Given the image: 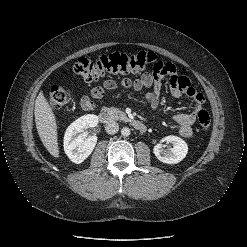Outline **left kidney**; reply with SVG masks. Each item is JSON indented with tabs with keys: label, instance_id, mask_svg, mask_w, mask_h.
<instances>
[{
	"label": "left kidney",
	"instance_id": "1",
	"mask_svg": "<svg viewBox=\"0 0 247 247\" xmlns=\"http://www.w3.org/2000/svg\"><path fill=\"white\" fill-rule=\"evenodd\" d=\"M161 142L171 143L172 147L166 150L161 143L154 146L153 153L159 161L167 164H176L186 157L188 145L180 137L170 135L163 138Z\"/></svg>",
	"mask_w": 247,
	"mask_h": 247
}]
</instances>
